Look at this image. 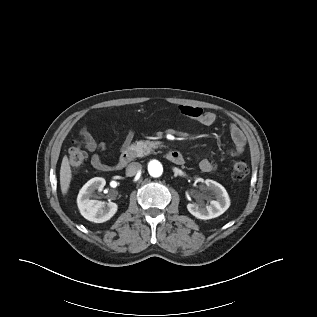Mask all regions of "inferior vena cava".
<instances>
[{"mask_svg":"<svg viewBox=\"0 0 317 317\" xmlns=\"http://www.w3.org/2000/svg\"><path fill=\"white\" fill-rule=\"evenodd\" d=\"M142 168V165L138 162L130 163L126 168V175L131 177L136 175Z\"/></svg>","mask_w":317,"mask_h":317,"instance_id":"obj_1","label":"inferior vena cava"}]
</instances>
